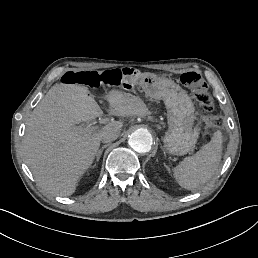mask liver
<instances>
[{
	"instance_id": "6515ba94",
	"label": "liver",
	"mask_w": 258,
	"mask_h": 258,
	"mask_svg": "<svg viewBox=\"0 0 258 258\" xmlns=\"http://www.w3.org/2000/svg\"><path fill=\"white\" fill-rule=\"evenodd\" d=\"M89 93L84 85L55 84L26 121L24 160L38 184L50 194L72 195L99 150L102 130H120L123 126L120 121H112L98 132L80 131L75 124L103 114ZM108 102L115 116L148 114L139 97L123 95L118 90L109 92Z\"/></svg>"
}]
</instances>
